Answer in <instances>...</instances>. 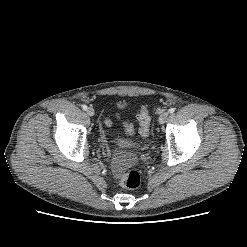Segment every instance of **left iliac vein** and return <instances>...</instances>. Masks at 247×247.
Here are the masks:
<instances>
[{
    "label": "left iliac vein",
    "mask_w": 247,
    "mask_h": 247,
    "mask_svg": "<svg viewBox=\"0 0 247 247\" xmlns=\"http://www.w3.org/2000/svg\"><path fill=\"white\" fill-rule=\"evenodd\" d=\"M168 115H169L168 112L161 113V115L159 116V123L160 124L165 123L166 119L168 118Z\"/></svg>",
    "instance_id": "obj_1"
}]
</instances>
